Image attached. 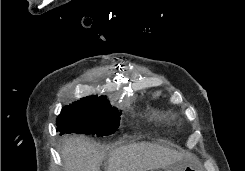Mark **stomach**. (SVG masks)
I'll return each instance as SVG.
<instances>
[{"instance_id":"obj_1","label":"stomach","mask_w":245,"mask_h":171,"mask_svg":"<svg viewBox=\"0 0 245 171\" xmlns=\"http://www.w3.org/2000/svg\"><path fill=\"white\" fill-rule=\"evenodd\" d=\"M159 171H197L191 163L184 162L178 166H169Z\"/></svg>"}]
</instances>
